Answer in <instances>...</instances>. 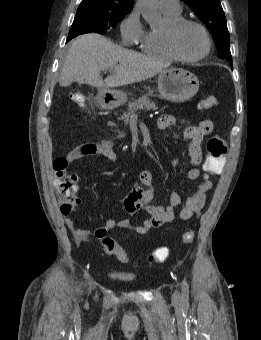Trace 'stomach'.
Returning a JSON list of instances; mask_svg holds the SVG:
<instances>
[{"instance_id":"0dacf381","label":"stomach","mask_w":261,"mask_h":340,"mask_svg":"<svg viewBox=\"0 0 261 340\" xmlns=\"http://www.w3.org/2000/svg\"><path fill=\"white\" fill-rule=\"evenodd\" d=\"M158 90L160 97L176 103L191 99L199 90V79L190 71L179 68L164 69L158 76ZM131 93L101 89L98 102L105 109H114L129 100Z\"/></svg>"}]
</instances>
